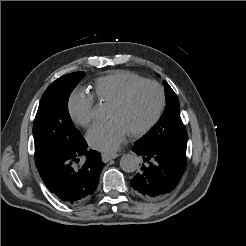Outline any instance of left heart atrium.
Returning <instances> with one entry per match:
<instances>
[{
  "instance_id": "obj_1",
  "label": "left heart atrium",
  "mask_w": 246,
  "mask_h": 246,
  "mask_svg": "<svg viewBox=\"0 0 246 246\" xmlns=\"http://www.w3.org/2000/svg\"><path fill=\"white\" fill-rule=\"evenodd\" d=\"M128 133V129L121 121L111 119L93 126L87 133V140L93 148L111 152L121 145Z\"/></svg>"
}]
</instances>
